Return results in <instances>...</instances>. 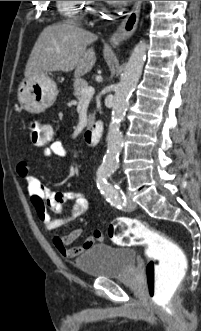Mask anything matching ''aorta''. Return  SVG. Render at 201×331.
<instances>
[{"label": "aorta", "instance_id": "aorta-1", "mask_svg": "<svg viewBox=\"0 0 201 331\" xmlns=\"http://www.w3.org/2000/svg\"><path fill=\"white\" fill-rule=\"evenodd\" d=\"M146 52V42L144 40L140 41L134 47L122 74L121 81L116 87L111 121L107 133V152L98 170V176L101 178L108 177L118 167L119 154L123 142V136L120 131L121 122L129 107V97L140 79L146 59Z\"/></svg>", "mask_w": 201, "mask_h": 331}]
</instances>
